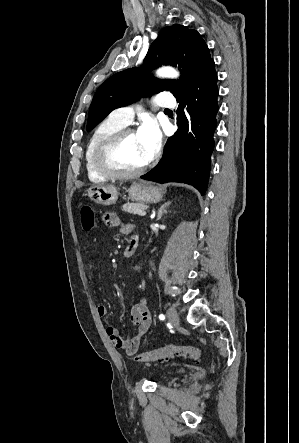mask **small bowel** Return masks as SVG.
<instances>
[{
  "label": "small bowel",
  "mask_w": 299,
  "mask_h": 443,
  "mask_svg": "<svg viewBox=\"0 0 299 443\" xmlns=\"http://www.w3.org/2000/svg\"><path fill=\"white\" fill-rule=\"evenodd\" d=\"M102 220L109 227L120 228L123 233H127L134 228L132 225L126 227L122 226L119 217L115 213H105ZM133 239L137 238L134 236L131 240ZM97 313L101 317L106 316L108 313L107 307L103 304H98ZM130 318L136 326V332L132 338L122 337L116 328L108 327L106 329V334L112 345L123 350L129 356L134 355L137 352L140 343L151 325V315L145 296H142L140 300L133 305Z\"/></svg>",
  "instance_id": "small-bowel-1"
}]
</instances>
